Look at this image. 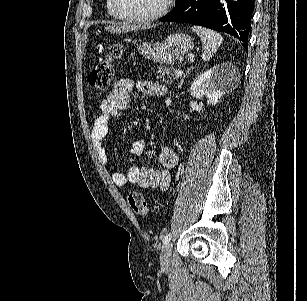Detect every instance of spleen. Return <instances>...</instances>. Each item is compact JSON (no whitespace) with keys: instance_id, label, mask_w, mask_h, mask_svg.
I'll return each instance as SVG.
<instances>
[{"instance_id":"obj_1","label":"spleen","mask_w":307,"mask_h":301,"mask_svg":"<svg viewBox=\"0 0 307 301\" xmlns=\"http://www.w3.org/2000/svg\"><path fill=\"white\" fill-rule=\"evenodd\" d=\"M191 28L193 32L199 34L204 44V50L202 52L203 60H210L214 52H216L219 46H221L223 42V36H221L220 32L211 30V28H204V26H191Z\"/></svg>"}]
</instances>
